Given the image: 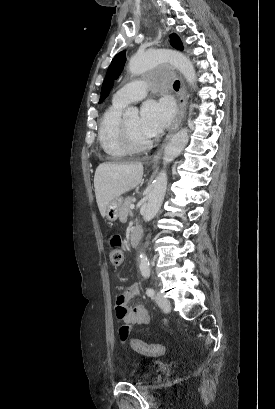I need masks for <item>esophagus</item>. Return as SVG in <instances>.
Segmentation results:
<instances>
[{"label":"esophagus","instance_id":"esophagus-1","mask_svg":"<svg viewBox=\"0 0 275 409\" xmlns=\"http://www.w3.org/2000/svg\"><path fill=\"white\" fill-rule=\"evenodd\" d=\"M186 106H187L186 87H185V84L183 82V79L181 78V88H180V92H179V101H178V108H179L178 115H177L175 121L173 122V125L171 126L169 132L167 133L164 141L162 142L159 149L157 150V153L155 154L154 160H157V159L160 158L166 144L169 142L171 137L175 134V132L178 130V128L182 124V122H183V120L185 118V115H186Z\"/></svg>","mask_w":275,"mask_h":409}]
</instances>
